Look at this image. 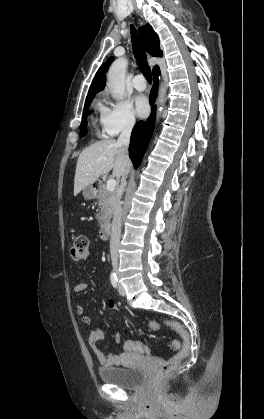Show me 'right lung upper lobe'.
<instances>
[{"label":"right lung upper lobe","mask_w":264,"mask_h":419,"mask_svg":"<svg viewBox=\"0 0 264 419\" xmlns=\"http://www.w3.org/2000/svg\"><path fill=\"white\" fill-rule=\"evenodd\" d=\"M139 33L146 51L150 53L152 56L162 57V51L160 50L159 46V39L152 27L149 24H146L139 29ZM112 61L113 57H110L103 65H101L92 81L86 100L94 97L96 93H98L105 87L106 72ZM158 70H160L159 67L155 66L153 72H156Z\"/></svg>","instance_id":"1"}]
</instances>
